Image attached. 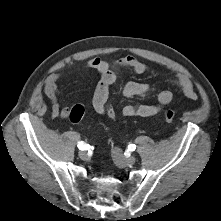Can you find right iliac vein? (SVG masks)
Wrapping results in <instances>:
<instances>
[{
    "instance_id": "obj_1",
    "label": "right iliac vein",
    "mask_w": 221,
    "mask_h": 221,
    "mask_svg": "<svg viewBox=\"0 0 221 221\" xmlns=\"http://www.w3.org/2000/svg\"><path fill=\"white\" fill-rule=\"evenodd\" d=\"M79 157L82 159V160H88L89 158V155L86 151H80L79 152Z\"/></svg>"
}]
</instances>
